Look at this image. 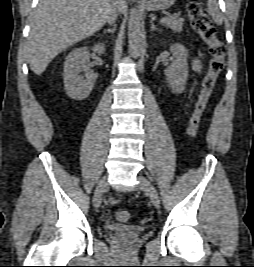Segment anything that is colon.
Here are the masks:
<instances>
[{
	"label": "colon",
	"instance_id": "obj_1",
	"mask_svg": "<svg viewBox=\"0 0 254 267\" xmlns=\"http://www.w3.org/2000/svg\"><path fill=\"white\" fill-rule=\"evenodd\" d=\"M187 13L191 29L207 45L209 54V69L202 79L201 91L188 126V134L195 137L217 79L224 67L226 48L217 38L215 27L210 17L203 10L201 3L190 2L187 5ZM130 216V212L127 210H121L117 213V219L121 222L128 221Z\"/></svg>",
	"mask_w": 254,
	"mask_h": 267
}]
</instances>
